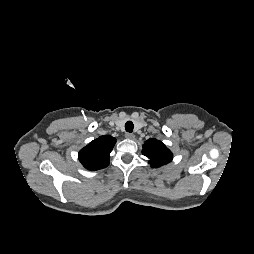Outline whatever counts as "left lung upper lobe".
<instances>
[{
	"instance_id": "left-lung-upper-lobe-1",
	"label": "left lung upper lobe",
	"mask_w": 254,
	"mask_h": 254,
	"mask_svg": "<svg viewBox=\"0 0 254 254\" xmlns=\"http://www.w3.org/2000/svg\"><path fill=\"white\" fill-rule=\"evenodd\" d=\"M142 153L150 159L149 163L152 167H160L169 163L173 156L161 141L154 138L145 142Z\"/></svg>"
}]
</instances>
